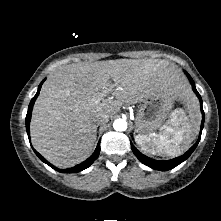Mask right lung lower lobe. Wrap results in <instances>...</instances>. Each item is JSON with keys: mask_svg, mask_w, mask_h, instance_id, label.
<instances>
[{"mask_svg": "<svg viewBox=\"0 0 221 221\" xmlns=\"http://www.w3.org/2000/svg\"><path fill=\"white\" fill-rule=\"evenodd\" d=\"M44 82V80L40 83L39 87H38V91L35 95L34 98H32L30 104H29V107H28V112H27V115H26V131H27V134H28V137L30 138V129H29V124H30V119H31V113H32V109H33V105H34V102L36 100V97L39 95V92H40V89H41V86H42V83ZM34 152L36 153V155L46 164H48L50 167H52L54 170L56 171H59L61 173H75V172H80L86 168H88L96 159L97 157L99 156V153H100V143H98L97 145V148L95 150V152L93 153V155L88 158L86 161H84L83 163L81 164H78L72 168H67L65 170H61V169H58L56 168L55 166H53L52 164H50L49 162H47L35 149H33Z\"/></svg>", "mask_w": 221, "mask_h": 221, "instance_id": "98d812e1", "label": "right lung lower lobe"}]
</instances>
